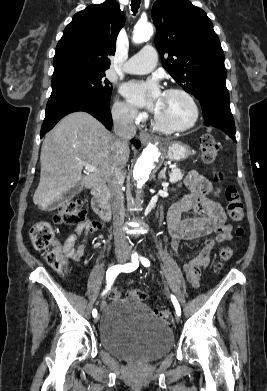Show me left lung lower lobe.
Wrapping results in <instances>:
<instances>
[{
  "label": "left lung lower lobe",
  "instance_id": "obj_1",
  "mask_svg": "<svg viewBox=\"0 0 267 391\" xmlns=\"http://www.w3.org/2000/svg\"><path fill=\"white\" fill-rule=\"evenodd\" d=\"M206 126H214L224 131L234 141L235 124L230 110L229 95L213 94L199 99Z\"/></svg>",
  "mask_w": 267,
  "mask_h": 391
}]
</instances>
